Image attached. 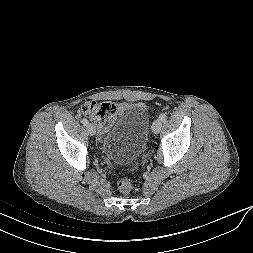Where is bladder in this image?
Masks as SVG:
<instances>
[{
    "mask_svg": "<svg viewBox=\"0 0 253 253\" xmlns=\"http://www.w3.org/2000/svg\"><path fill=\"white\" fill-rule=\"evenodd\" d=\"M149 125L150 115L144 108L121 110L102 136L107 156L120 165L134 161L145 149Z\"/></svg>",
    "mask_w": 253,
    "mask_h": 253,
    "instance_id": "1",
    "label": "bladder"
}]
</instances>
